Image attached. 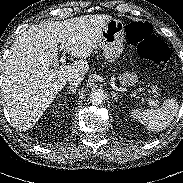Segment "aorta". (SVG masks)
<instances>
[{
  "instance_id": "762f6f07",
  "label": "aorta",
  "mask_w": 183,
  "mask_h": 183,
  "mask_svg": "<svg viewBox=\"0 0 183 183\" xmlns=\"http://www.w3.org/2000/svg\"><path fill=\"white\" fill-rule=\"evenodd\" d=\"M105 100V95L104 92L100 89L98 90H93L90 93V101L95 104V105H99L102 104Z\"/></svg>"
}]
</instances>
